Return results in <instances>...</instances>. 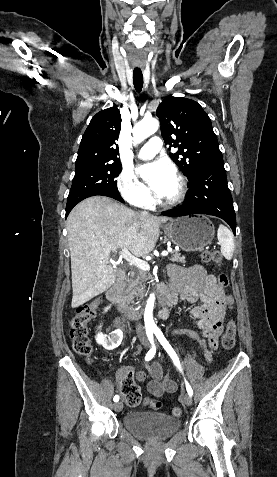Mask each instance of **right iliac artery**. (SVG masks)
Segmentation results:
<instances>
[{
	"label": "right iliac artery",
	"instance_id": "obj_1",
	"mask_svg": "<svg viewBox=\"0 0 277 477\" xmlns=\"http://www.w3.org/2000/svg\"><path fill=\"white\" fill-rule=\"evenodd\" d=\"M147 336H148L149 341H150L151 344H152L151 349L147 352V354H146V356H145V360H146V361H149V360H151V359L154 357L155 352H156V348H155V346H154V341H153V331H152V330L147 331ZM113 400H114L115 402L119 401V396H118V395H115L114 398H113Z\"/></svg>",
	"mask_w": 277,
	"mask_h": 477
}]
</instances>
